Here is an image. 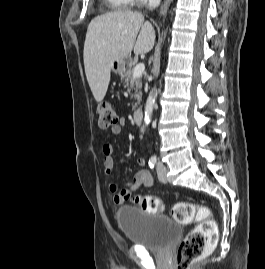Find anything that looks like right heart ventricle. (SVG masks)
Masks as SVG:
<instances>
[{
	"label": "right heart ventricle",
	"instance_id": "obj_1",
	"mask_svg": "<svg viewBox=\"0 0 265 269\" xmlns=\"http://www.w3.org/2000/svg\"><path fill=\"white\" fill-rule=\"evenodd\" d=\"M106 2L115 10H123L131 7L134 0H106Z\"/></svg>",
	"mask_w": 265,
	"mask_h": 269
}]
</instances>
